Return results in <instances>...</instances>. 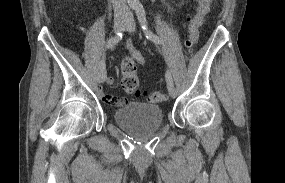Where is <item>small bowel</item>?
<instances>
[{
	"label": "small bowel",
	"mask_w": 285,
	"mask_h": 183,
	"mask_svg": "<svg viewBox=\"0 0 285 183\" xmlns=\"http://www.w3.org/2000/svg\"><path fill=\"white\" fill-rule=\"evenodd\" d=\"M128 49L130 52L131 57L140 65H145L146 61L143 57V55L132 45L131 41L128 42ZM106 83L107 84H112L113 83V79L111 77H108L106 79ZM99 94L101 97H103L105 99V101H107L110 104H113L111 102V98L115 97V96H106L101 90H99ZM118 100H121V104L122 105L125 103V100L123 98H119L116 97ZM113 105H117V104H113Z\"/></svg>",
	"instance_id": "1"
}]
</instances>
